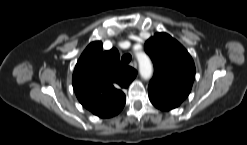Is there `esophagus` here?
I'll use <instances>...</instances> for the list:
<instances>
[{"mask_svg":"<svg viewBox=\"0 0 247 145\" xmlns=\"http://www.w3.org/2000/svg\"><path fill=\"white\" fill-rule=\"evenodd\" d=\"M130 65L133 67V68H135V69H137V67H138V64H137V62L134 60V61H132L131 63H130Z\"/></svg>","mask_w":247,"mask_h":145,"instance_id":"34e87169","label":"esophagus"}]
</instances>
